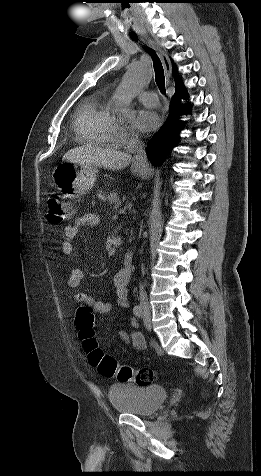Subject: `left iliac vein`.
<instances>
[{
    "instance_id": "4c4485c4",
    "label": "left iliac vein",
    "mask_w": 261,
    "mask_h": 476,
    "mask_svg": "<svg viewBox=\"0 0 261 476\" xmlns=\"http://www.w3.org/2000/svg\"><path fill=\"white\" fill-rule=\"evenodd\" d=\"M143 321H144L145 327H146L147 329H150V320H149V318L146 316V314L144 315Z\"/></svg>"
}]
</instances>
